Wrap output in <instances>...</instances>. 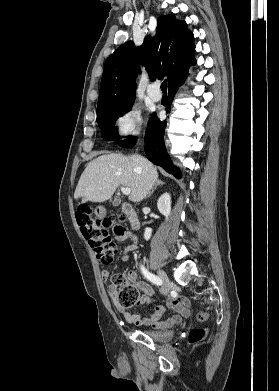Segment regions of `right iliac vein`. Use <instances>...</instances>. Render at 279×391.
<instances>
[{
  "label": "right iliac vein",
  "mask_w": 279,
  "mask_h": 391,
  "mask_svg": "<svg viewBox=\"0 0 279 391\" xmlns=\"http://www.w3.org/2000/svg\"><path fill=\"white\" fill-rule=\"evenodd\" d=\"M159 277L161 278L163 285H162V294L166 296L169 293L170 287H171V282L166 275V273L162 270L158 271Z\"/></svg>",
  "instance_id": "obj_1"
}]
</instances>
